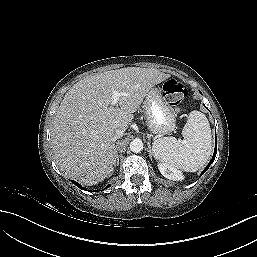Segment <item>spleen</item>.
I'll return each mask as SVG.
<instances>
[{
	"label": "spleen",
	"instance_id": "obj_1",
	"mask_svg": "<svg viewBox=\"0 0 257 257\" xmlns=\"http://www.w3.org/2000/svg\"><path fill=\"white\" fill-rule=\"evenodd\" d=\"M182 135V141L174 137L155 140L154 156L177 169L195 172L205 165L212 152L211 129L206 116L199 111L190 112Z\"/></svg>",
	"mask_w": 257,
	"mask_h": 257
}]
</instances>
